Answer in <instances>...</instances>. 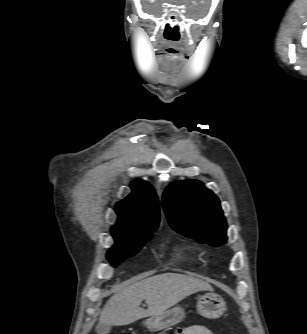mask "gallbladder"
Segmentation results:
<instances>
[{"label": "gallbladder", "mask_w": 307, "mask_h": 334, "mask_svg": "<svg viewBox=\"0 0 307 334\" xmlns=\"http://www.w3.org/2000/svg\"><path fill=\"white\" fill-rule=\"evenodd\" d=\"M110 331H111V326L109 325L98 323V325L96 326V332L98 334H109Z\"/></svg>", "instance_id": "gallbladder-1"}]
</instances>
